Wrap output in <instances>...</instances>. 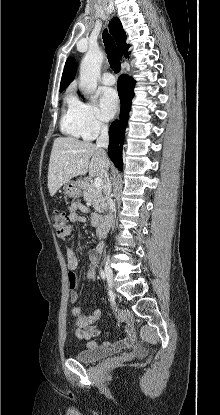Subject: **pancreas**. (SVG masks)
Returning <instances> with one entry per match:
<instances>
[{
    "label": "pancreas",
    "instance_id": "1",
    "mask_svg": "<svg viewBox=\"0 0 220 415\" xmlns=\"http://www.w3.org/2000/svg\"><path fill=\"white\" fill-rule=\"evenodd\" d=\"M83 193H84V199L87 203L93 205L95 210L98 212H103V210L107 206L108 201V191L105 186H102L101 188L97 189L94 186L93 181H83Z\"/></svg>",
    "mask_w": 220,
    "mask_h": 415
}]
</instances>
